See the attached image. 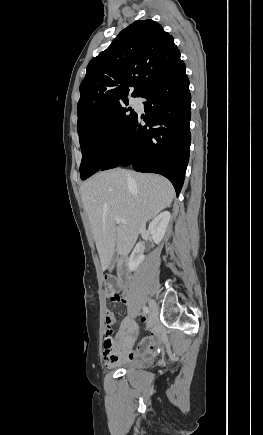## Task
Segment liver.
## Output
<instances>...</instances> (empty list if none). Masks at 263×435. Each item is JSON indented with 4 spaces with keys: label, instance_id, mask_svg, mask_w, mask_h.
<instances>
[{
    "label": "liver",
    "instance_id": "liver-1",
    "mask_svg": "<svg viewBox=\"0 0 263 435\" xmlns=\"http://www.w3.org/2000/svg\"><path fill=\"white\" fill-rule=\"evenodd\" d=\"M80 194L104 271L115 252L130 253L142 224L169 207L175 191L162 176L116 168L89 178ZM116 217L126 223L117 224Z\"/></svg>",
    "mask_w": 263,
    "mask_h": 435
}]
</instances>
